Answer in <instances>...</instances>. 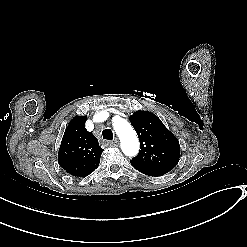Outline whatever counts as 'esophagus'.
<instances>
[{"mask_svg": "<svg viewBox=\"0 0 247 247\" xmlns=\"http://www.w3.org/2000/svg\"><path fill=\"white\" fill-rule=\"evenodd\" d=\"M111 145L117 147V146L119 145V141L116 140V141H115L114 143H112Z\"/></svg>", "mask_w": 247, "mask_h": 247, "instance_id": "34e87169", "label": "esophagus"}]
</instances>
